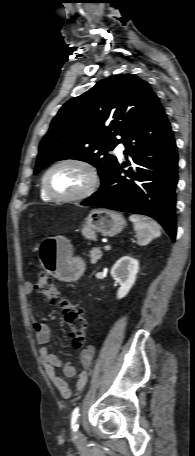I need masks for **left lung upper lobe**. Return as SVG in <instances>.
<instances>
[{"label": "left lung upper lobe", "instance_id": "1", "mask_svg": "<svg viewBox=\"0 0 195 456\" xmlns=\"http://www.w3.org/2000/svg\"><path fill=\"white\" fill-rule=\"evenodd\" d=\"M156 97L146 81L119 74L69 100L40 143L35 174L54 161L77 159L97 167L103 182L118 162L110 151Z\"/></svg>", "mask_w": 195, "mask_h": 456}]
</instances>
